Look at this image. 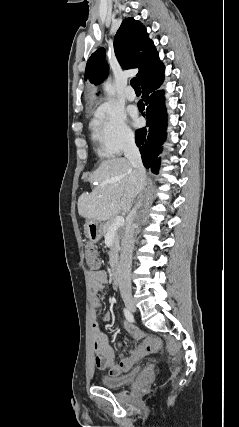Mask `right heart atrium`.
<instances>
[{
  "label": "right heart atrium",
  "instance_id": "d8ad5b80",
  "mask_svg": "<svg viewBox=\"0 0 239 427\" xmlns=\"http://www.w3.org/2000/svg\"><path fill=\"white\" fill-rule=\"evenodd\" d=\"M94 126L112 154H122L135 143V135L118 108L105 104L96 112Z\"/></svg>",
  "mask_w": 239,
  "mask_h": 427
}]
</instances>
